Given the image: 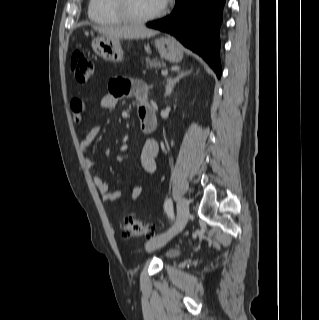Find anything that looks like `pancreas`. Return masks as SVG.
Wrapping results in <instances>:
<instances>
[{
    "label": "pancreas",
    "mask_w": 319,
    "mask_h": 320,
    "mask_svg": "<svg viewBox=\"0 0 319 320\" xmlns=\"http://www.w3.org/2000/svg\"><path fill=\"white\" fill-rule=\"evenodd\" d=\"M145 61H146L147 67H150V68L157 69L165 66V64L161 61H158L157 58L150 59L149 57H146Z\"/></svg>",
    "instance_id": "1"
}]
</instances>
